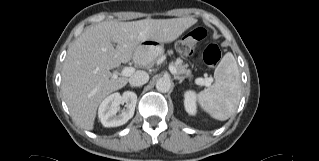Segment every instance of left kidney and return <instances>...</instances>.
Returning <instances> with one entry per match:
<instances>
[{
    "mask_svg": "<svg viewBox=\"0 0 319 161\" xmlns=\"http://www.w3.org/2000/svg\"><path fill=\"white\" fill-rule=\"evenodd\" d=\"M184 107L188 114L195 115L197 112L196 94L194 91L188 90L184 94Z\"/></svg>",
    "mask_w": 319,
    "mask_h": 161,
    "instance_id": "left-kidney-1",
    "label": "left kidney"
}]
</instances>
